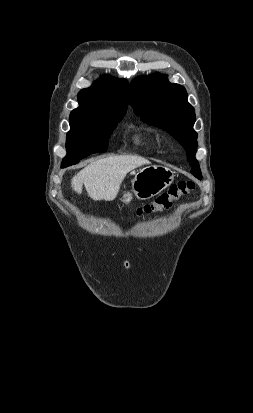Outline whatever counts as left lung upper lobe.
Masks as SVG:
<instances>
[{
  "label": "left lung upper lobe",
  "instance_id": "left-lung-upper-lobe-1",
  "mask_svg": "<svg viewBox=\"0 0 253 413\" xmlns=\"http://www.w3.org/2000/svg\"><path fill=\"white\" fill-rule=\"evenodd\" d=\"M130 104L142 120L166 130L187 152L191 173L202 179L195 154L197 133L194 108L187 101V92L179 84L170 83L166 75L155 74L134 79L129 88Z\"/></svg>",
  "mask_w": 253,
  "mask_h": 413
}]
</instances>
